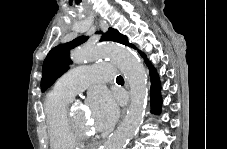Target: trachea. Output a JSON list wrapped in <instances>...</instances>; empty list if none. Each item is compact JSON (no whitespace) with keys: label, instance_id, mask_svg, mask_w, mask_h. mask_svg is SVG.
<instances>
[{"label":"trachea","instance_id":"3493384b","mask_svg":"<svg viewBox=\"0 0 227 149\" xmlns=\"http://www.w3.org/2000/svg\"><path fill=\"white\" fill-rule=\"evenodd\" d=\"M123 81L124 79L121 75L116 78V82H123Z\"/></svg>","mask_w":227,"mask_h":149}]
</instances>
